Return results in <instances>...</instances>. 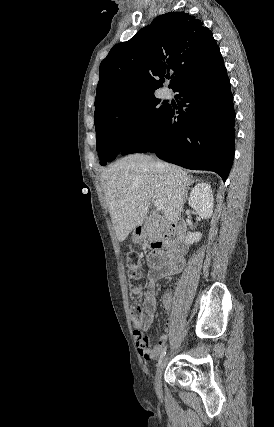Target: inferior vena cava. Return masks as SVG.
<instances>
[{"instance_id": "inferior-vena-cava-1", "label": "inferior vena cava", "mask_w": 274, "mask_h": 427, "mask_svg": "<svg viewBox=\"0 0 274 427\" xmlns=\"http://www.w3.org/2000/svg\"><path fill=\"white\" fill-rule=\"evenodd\" d=\"M156 166H157V168H163L162 162H156Z\"/></svg>"}]
</instances>
